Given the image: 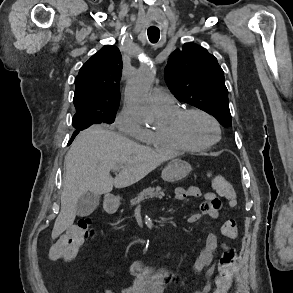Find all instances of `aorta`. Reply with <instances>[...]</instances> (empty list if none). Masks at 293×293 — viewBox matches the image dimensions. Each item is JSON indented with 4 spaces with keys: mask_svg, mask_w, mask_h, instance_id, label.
<instances>
[{
    "mask_svg": "<svg viewBox=\"0 0 293 293\" xmlns=\"http://www.w3.org/2000/svg\"><path fill=\"white\" fill-rule=\"evenodd\" d=\"M154 78L155 70L152 64L149 61L143 62L128 81L125 90L128 108L139 121L147 124L153 123L156 118L149 98Z\"/></svg>",
    "mask_w": 293,
    "mask_h": 293,
    "instance_id": "762f6f07",
    "label": "aorta"
}]
</instances>
